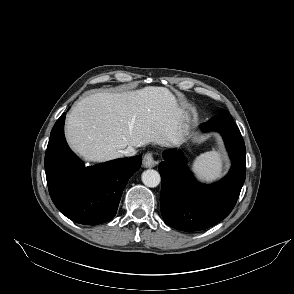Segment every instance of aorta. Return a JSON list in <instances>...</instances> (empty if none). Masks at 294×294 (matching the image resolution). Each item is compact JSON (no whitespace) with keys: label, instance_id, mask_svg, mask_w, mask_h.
Here are the masks:
<instances>
[{"label":"aorta","instance_id":"aorta-1","mask_svg":"<svg viewBox=\"0 0 294 294\" xmlns=\"http://www.w3.org/2000/svg\"><path fill=\"white\" fill-rule=\"evenodd\" d=\"M161 181L160 174L153 169H148L142 173V182L147 187H156Z\"/></svg>","mask_w":294,"mask_h":294}]
</instances>
